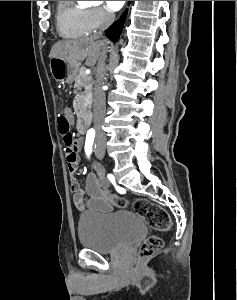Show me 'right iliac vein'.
Returning <instances> with one entry per match:
<instances>
[{"label":"right iliac vein","instance_id":"63e3f726","mask_svg":"<svg viewBox=\"0 0 237 300\" xmlns=\"http://www.w3.org/2000/svg\"><path fill=\"white\" fill-rule=\"evenodd\" d=\"M99 154H103L104 153V149H97L96 150Z\"/></svg>","mask_w":237,"mask_h":300}]
</instances>
